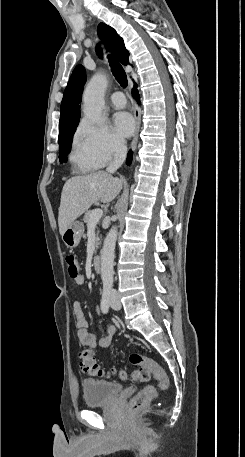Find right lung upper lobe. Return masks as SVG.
I'll use <instances>...</instances> for the list:
<instances>
[{
    "instance_id": "right-lung-upper-lobe-1",
    "label": "right lung upper lobe",
    "mask_w": 245,
    "mask_h": 457,
    "mask_svg": "<svg viewBox=\"0 0 245 457\" xmlns=\"http://www.w3.org/2000/svg\"><path fill=\"white\" fill-rule=\"evenodd\" d=\"M98 34L107 48L123 65L129 64V52L124 46L123 39L113 28L104 23H100L98 26ZM97 53L101 56V49L99 47H97ZM85 81V68L82 65L76 66L64 91L61 103L59 128L71 123L79 122L81 96Z\"/></svg>"
}]
</instances>
